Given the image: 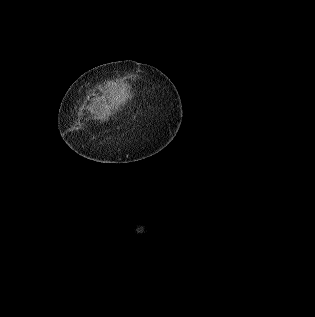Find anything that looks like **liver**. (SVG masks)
<instances>
[{"mask_svg":"<svg viewBox=\"0 0 315 317\" xmlns=\"http://www.w3.org/2000/svg\"><path fill=\"white\" fill-rule=\"evenodd\" d=\"M124 101H122L121 99H110L108 102H102V104L100 105V109L99 111H96L95 114V119H100V120H104V119H108L110 115H113L116 111V109H118L120 107V103H123Z\"/></svg>","mask_w":315,"mask_h":317,"instance_id":"liver-1","label":"liver"}]
</instances>
